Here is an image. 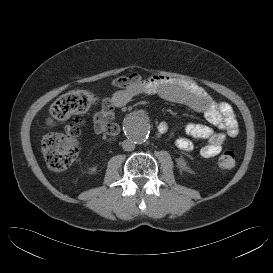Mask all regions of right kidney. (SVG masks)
<instances>
[{"label": "right kidney", "instance_id": "obj_1", "mask_svg": "<svg viewBox=\"0 0 273 273\" xmlns=\"http://www.w3.org/2000/svg\"><path fill=\"white\" fill-rule=\"evenodd\" d=\"M96 170H97V167L94 166V167H92V168L89 169V172L92 174V173H95Z\"/></svg>", "mask_w": 273, "mask_h": 273}]
</instances>
